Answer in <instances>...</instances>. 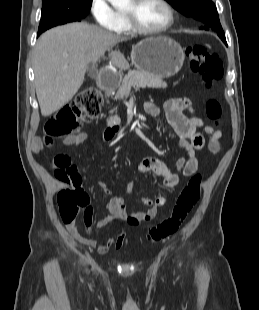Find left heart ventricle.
<instances>
[{
    "instance_id": "1",
    "label": "left heart ventricle",
    "mask_w": 259,
    "mask_h": 310,
    "mask_svg": "<svg viewBox=\"0 0 259 310\" xmlns=\"http://www.w3.org/2000/svg\"><path fill=\"white\" fill-rule=\"evenodd\" d=\"M125 11H133L137 22L150 29L159 28L168 20L167 10L158 0H143L137 6L131 0Z\"/></svg>"
}]
</instances>
